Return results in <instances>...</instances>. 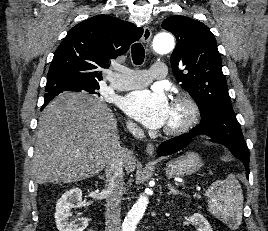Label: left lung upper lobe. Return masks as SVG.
Here are the masks:
<instances>
[{
    "label": "left lung upper lobe",
    "mask_w": 268,
    "mask_h": 231,
    "mask_svg": "<svg viewBox=\"0 0 268 231\" xmlns=\"http://www.w3.org/2000/svg\"><path fill=\"white\" fill-rule=\"evenodd\" d=\"M162 27L177 39L171 55L174 76L200 109L201 124L190 131L248 150L231 105L220 53L210 29L180 15L166 18Z\"/></svg>",
    "instance_id": "obj_1"
}]
</instances>
